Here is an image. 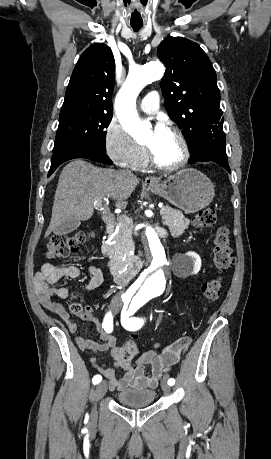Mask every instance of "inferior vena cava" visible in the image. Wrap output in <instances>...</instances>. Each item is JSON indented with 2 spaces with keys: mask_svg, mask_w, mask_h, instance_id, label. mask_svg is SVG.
I'll return each instance as SVG.
<instances>
[{
  "mask_svg": "<svg viewBox=\"0 0 271 459\" xmlns=\"http://www.w3.org/2000/svg\"><path fill=\"white\" fill-rule=\"evenodd\" d=\"M125 172H128V174H130V170H125Z\"/></svg>",
  "mask_w": 271,
  "mask_h": 459,
  "instance_id": "1",
  "label": "inferior vena cava"
}]
</instances>
